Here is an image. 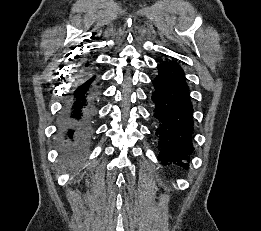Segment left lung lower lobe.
Listing matches in <instances>:
<instances>
[{
  "instance_id": "1",
  "label": "left lung lower lobe",
  "mask_w": 261,
  "mask_h": 231,
  "mask_svg": "<svg viewBox=\"0 0 261 231\" xmlns=\"http://www.w3.org/2000/svg\"><path fill=\"white\" fill-rule=\"evenodd\" d=\"M158 75L152 81L157 121L158 160L162 164L189 166L194 151L193 105L183 69L177 62L165 61L157 66Z\"/></svg>"
}]
</instances>
